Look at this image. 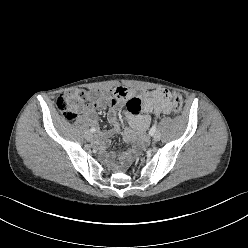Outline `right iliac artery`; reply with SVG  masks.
Segmentation results:
<instances>
[{
  "instance_id": "1",
  "label": "right iliac artery",
  "mask_w": 248,
  "mask_h": 248,
  "mask_svg": "<svg viewBox=\"0 0 248 248\" xmlns=\"http://www.w3.org/2000/svg\"><path fill=\"white\" fill-rule=\"evenodd\" d=\"M94 131H95V129H94V128H91V129H90V132H92V133H93Z\"/></svg>"
}]
</instances>
